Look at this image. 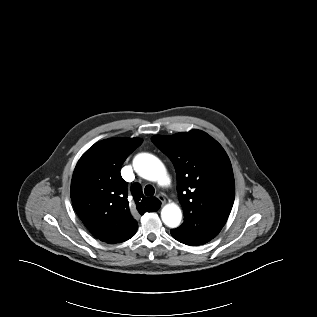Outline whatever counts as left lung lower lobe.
I'll return each mask as SVG.
<instances>
[{
  "mask_svg": "<svg viewBox=\"0 0 317 317\" xmlns=\"http://www.w3.org/2000/svg\"><path fill=\"white\" fill-rule=\"evenodd\" d=\"M225 218L198 215L185 221L180 227L171 230V235L179 242L190 245H202L212 240L226 223Z\"/></svg>",
  "mask_w": 317,
  "mask_h": 317,
  "instance_id": "left-lung-lower-lobe-1",
  "label": "left lung lower lobe"
}]
</instances>
